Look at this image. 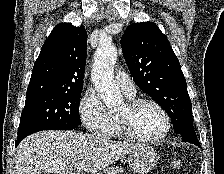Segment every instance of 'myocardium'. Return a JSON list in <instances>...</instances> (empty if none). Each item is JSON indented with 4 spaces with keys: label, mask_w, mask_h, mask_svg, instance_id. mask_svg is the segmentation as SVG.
<instances>
[{
    "label": "myocardium",
    "mask_w": 224,
    "mask_h": 174,
    "mask_svg": "<svg viewBox=\"0 0 224 174\" xmlns=\"http://www.w3.org/2000/svg\"><path fill=\"white\" fill-rule=\"evenodd\" d=\"M142 104H150L154 106L160 112V114L164 119V129L159 135L155 137H143L137 134L130 125L129 115ZM125 107H126L125 114L123 115L115 114L119 131L123 137L138 142L156 143L163 140L168 135L171 129L170 117L167 111L163 108V106L156 100L148 97L131 98L126 101Z\"/></svg>",
    "instance_id": "myocardium-1"
}]
</instances>
